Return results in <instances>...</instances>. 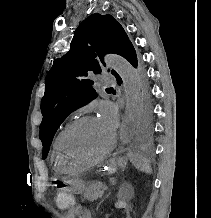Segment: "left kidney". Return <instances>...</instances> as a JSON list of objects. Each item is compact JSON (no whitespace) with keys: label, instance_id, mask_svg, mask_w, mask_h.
Instances as JSON below:
<instances>
[{"label":"left kidney","instance_id":"left-kidney-1","mask_svg":"<svg viewBox=\"0 0 211 218\" xmlns=\"http://www.w3.org/2000/svg\"><path fill=\"white\" fill-rule=\"evenodd\" d=\"M134 202H130L129 198H122L121 202H116L114 210H122V215H134Z\"/></svg>","mask_w":211,"mask_h":218}]
</instances>
